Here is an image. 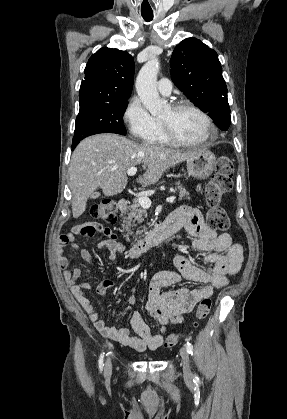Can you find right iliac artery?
Segmentation results:
<instances>
[{"mask_svg":"<svg viewBox=\"0 0 287 419\" xmlns=\"http://www.w3.org/2000/svg\"><path fill=\"white\" fill-rule=\"evenodd\" d=\"M103 357H104V353L101 354L100 358H99V369L102 370L104 364H103Z\"/></svg>","mask_w":287,"mask_h":419,"instance_id":"82829eb1","label":"right iliac artery"}]
</instances>
